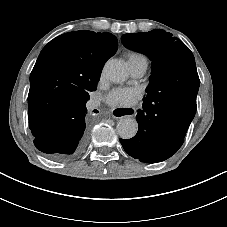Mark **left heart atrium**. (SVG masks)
<instances>
[{
	"mask_svg": "<svg viewBox=\"0 0 227 227\" xmlns=\"http://www.w3.org/2000/svg\"><path fill=\"white\" fill-rule=\"evenodd\" d=\"M141 93L137 89H115L106 96L108 104L115 107H130L140 99Z\"/></svg>",
	"mask_w": 227,
	"mask_h": 227,
	"instance_id": "obj_1",
	"label": "left heart atrium"
}]
</instances>
